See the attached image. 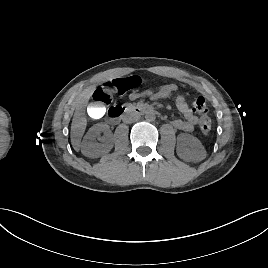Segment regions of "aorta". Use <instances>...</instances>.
Here are the masks:
<instances>
[{"label":"aorta","instance_id":"obj_1","mask_svg":"<svg viewBox=\"0 0 268 268\" xmlns=\"http://www.w3.org/2000/svg\"><path fill=\"white\" fill-rule=\"evenodd\" d=\"M145 119L148 122H153L156 119V115H155L154 112H147L146 115H145Z\"/></svg>","mask_w":268,"mask_h":268}]
</instances>
